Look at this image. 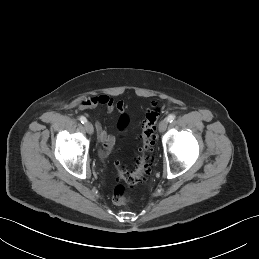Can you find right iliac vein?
<instances>
[{"instance_id": "63e3f726", "label": "right iliac vein", "mask_w": 259, "mask_h": 259, "mask_svg": "<svg viewBox=\"0 0 259 259\" xmlns=\"http://www.w3.org/2000/svg\"><path fill=\"white\" fill-rule=\"evenodd\" d=\"M85 129H86L87 133L90 134V135H92L93 132H94L93 125L89 122L85 123Z\"/></svg>"}]
</instances>
